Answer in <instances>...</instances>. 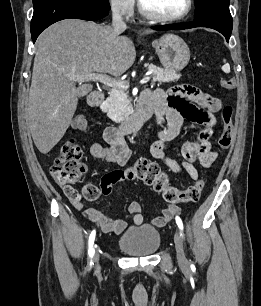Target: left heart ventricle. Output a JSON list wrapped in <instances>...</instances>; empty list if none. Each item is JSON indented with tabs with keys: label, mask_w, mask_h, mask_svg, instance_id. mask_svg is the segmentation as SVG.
<instances>
[{
	"label": "left heart ventricle",
	"mask_w": 261,
	"mask_h": 306,
	"mask_svg": "<svg viewBox=\"0 0 261 306\" xmlns=\"http://www.w3.org/2000/svg\"><path fill=\"white\" fill-rule=\"evenodd\" d=\"M153 11L164 16H175L184 11L187 0H142Z\"/></svg>",
	"instance_id": "left-heart-ventricle-1"
}]
</instances>
